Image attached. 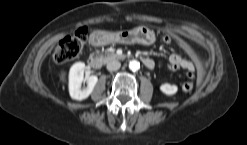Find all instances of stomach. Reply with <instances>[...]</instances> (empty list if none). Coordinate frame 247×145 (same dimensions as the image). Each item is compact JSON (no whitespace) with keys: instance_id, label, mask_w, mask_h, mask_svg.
Listing matches in <instances>:
<instances>
[{"instance_id":"1","label":"stomach","mask_w":247,"mask_h":145,"mask_svg":"<svg viewBox=\"0 0 247 145\" xmlns=\"http://www.w3.org/2000/svg\"><path fill=\"white\" fill-rule=\"evenodd\" d=\"M106 43H141L151 45L155 42V34L146 26L136 27L132 30H124L116 33H105Z\"/></svg>"}]
</instances>
